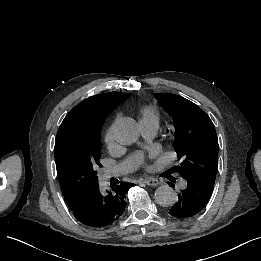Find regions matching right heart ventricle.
<instances>
[{
  "label": "right heart ventricle",
  "mask_w": 261,
  "mask_h": 261,
  "mask_svg": "<svg viewBox=\"0 0 261 261\" xmlns=\"http://www.w3.org/2000/svg\"><path fill=\"white\" fill-rule=\"evenodd\" d=\"M159 119V111L153 105H147L143 107L139 114V121L140 122H158Z\"/></svg>",
  "instance_id": "right-heart-ventricle-1"
}]
</instances>
